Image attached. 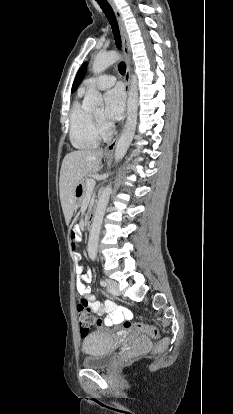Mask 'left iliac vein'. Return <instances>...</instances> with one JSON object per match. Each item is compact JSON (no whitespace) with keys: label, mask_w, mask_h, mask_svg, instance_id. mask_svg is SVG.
I'll use <instances>...</instances> for the list:
<instances>
[{"label":"left iliac vein","mask_w":233,"mask_h":414,"mask_svg":"<svg viewBox=\"0 0 233 414\" xmlns=\"http://www.w3.org/2000/svg\"><path fill=\"white\" fill-rule=\"evenodd\" d=\"M107 290H108L109 293H111L113 295H119L118 284L113 280H108L107 281Z\"/></svg>","instance_id":"4c4485c4"}]
</instances>
